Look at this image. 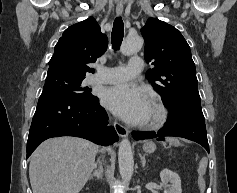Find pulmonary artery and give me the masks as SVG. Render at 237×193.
Listing matches in <instances>:
<instances>
[{
	"label": "pulmonary artery",
	"instance_id": "obj_1",
	"mask_svg": "<svg viewBox=\"0 0 237 193\" xmlns=\"http://www.w3.org/2000/svg\"><path fill=\"white\" fill-rule=\"evenodd\" d=\"M143 67V60L139 57L131 58L127 66L97 67V73L92 77L93 83L122 84L133 78Z\"/></svg>",
	"mask_w": 237,
	"mask_h": 193
}]
</instances>
